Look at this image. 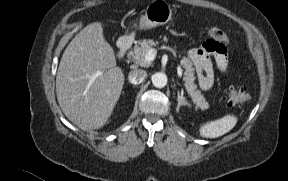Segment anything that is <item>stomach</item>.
<instances>
[{"instance_id": "1", "label": "stomach", "mask_w": 288, "mask_h": 181, "mask_svg": "<svg viewBox=\"0 0 288 181\" xmlns=\"http://www.w3.org/2000/svg\"><path fill=\"white\" fill-rule=\"evenodd\" d=\"M172 18V8L165 0H153L148 4L145 14L140 17L134 27L139 30H148L168 23ZM134 33L120 38L123 45L132 42Z\"/></svg>"}]
</instances>
